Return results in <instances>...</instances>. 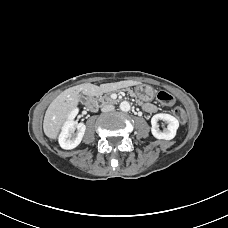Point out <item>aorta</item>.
<instances>
[{
  "label": "aorta",
  "instance_id": "obj_1",
  "mask_svg": "<svg viewBox=\"0 0 228 228\" xmlns=\"http://www.w3.org/2000/svg\"><path fill=\"white\" fill-rule=\"evenodd\" d=\"M120 109L124 112H128L131 108L130 103L128 101H122L120 103Z\"/></svg>",
  "mask_w": 228,
  "mask_h": 228
}]
</instances>
